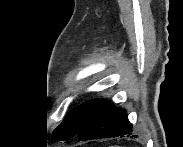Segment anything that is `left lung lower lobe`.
Segmentation results:
<instances>
[{
  "mask_svg": "<svg viewBox=\"0 0 183 147\" xmlns=\"http://www.w3.org/2000/svg\"><path fill=\"white\" fill-rule=\"evenodd\" d=\"M132 132L125 109L114 107L106 100H100L93 107L76 133L79 140H93L122 137Z\"/></svg>",
  "mask_w": 183,
  "mask_h": 147,
  "instance_id": "1",
  "label": "left lung lower lobe"
}]
</instances>
